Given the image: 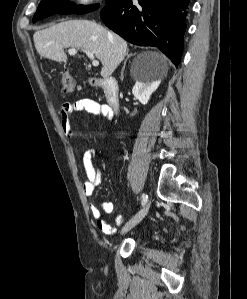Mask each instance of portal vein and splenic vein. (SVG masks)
<instances>
[{
    "label": "portal vein and splenic vein",
    "instance_id": "1",
    "mask_svg": "<svg viewBox=\"0 0 247 299\" xmlns=\"http://www.w3.org/2000/svg\"><path fill=\"white\" fill-rule=\"evenodd\" d=\"M84 53L88 56V58L92 61L93 66H98L99 61L95 59L94 54L88 50L82 49ZM69 54L75 55L77 53V50L75 48H71L68 50Z\"/></svg>",
    "mask_w": 247,
    "mask_h": 299
}]
</instances>
